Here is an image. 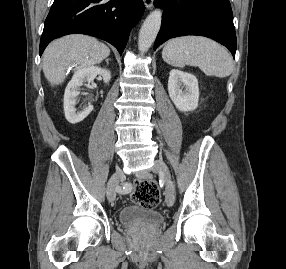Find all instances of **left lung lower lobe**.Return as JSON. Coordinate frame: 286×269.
Here are the masks:
<instances>
[{
	"label": "left lung lower lobe",
	"mask_w": 286,
	"mask_h": 269,
	"mask_svg": "<svg viewBox=\"0 0 286 269\" xmlns=\"http://www.w3.org/2000/svg\"><path fill=\"white\" fill-rule=\"evenodd\" d=\"M154 5L164 10L154 50L170 38L199 35L223 44L235 57L237 42L229 0H154Z\"/></svg>",
	"instance_id": "1"
}]
</instances>
